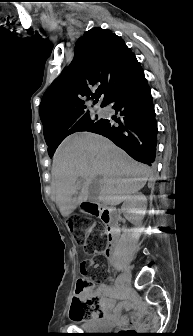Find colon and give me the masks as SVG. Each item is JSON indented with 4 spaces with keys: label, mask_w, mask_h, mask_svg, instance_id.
<instances>
[{
    "label": "colon",
    "mask_w": 193,
    "mask_h": 336,
    "mask_svg": "<svg viewBox=\"0 0 193 336\" xmlns=\"http://www.w3.org/2000/svg\"><path fill=\"white\" fill-rule=\"evenodd\" d=\"M68 227L74 232V238L77 243L82 244L87 252L100 253L103 249L96 234L91 233L94 229L92 222L86 223V229L81 228V220L73 217L68 222ZM90 233H87L86 231ZM91 261L81 262L82 276L76 284L75 295L71 302L70 317L75 321H82L91 318L102 311L101 299L95 294H87L93 286L92 279L88 276V268Z\"/></svg>",
    "instance_id": "5ec220e1"
}]
</instances>
